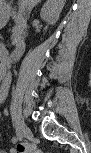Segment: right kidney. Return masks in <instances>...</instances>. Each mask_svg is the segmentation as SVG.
<instances>
[{
    "mask_svg": "<svg viewBox=\"0 0 91 153\" xmlns=\"http://www.w3.org/2000/svg\"><path fill=\"white\" fill-rule=\"evenodd\" d=\"M56 2V0H47L40 13L41 19L51 25H54L57 22L63 8V5Z\"/></svg>",
    "mask_w": 91,
    "mask_h": 153,
    "instance_id": "1",
    "label": "right kidney"
}]
</instances>
